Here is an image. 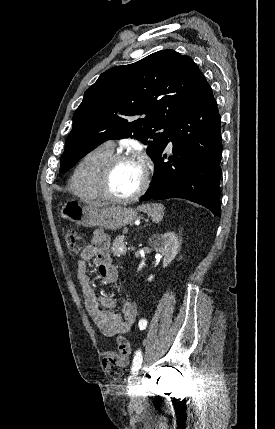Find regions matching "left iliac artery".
I'll list each match as a JSON object with an SVG mask.
<instances>
[{
    "instance_id": "obj_1",
    "label": "left iliac artery",
    "mask_w": 275,
    "mask_h": 429,
    "mask_svg": "<svg viewBox=\"0 0 275 429\" xmlns=\"http://www.w3.org/2000/svg\"><path fill=\"white\" fill-rule=\"evenodd\" d=\"M138 325H139L140 330H144L146 328V326H147V320L146 319H141L139 321ZM141 364H142V353L139 350V351H137V353H136V355H135V357L133 359V364H132V367H131V372H132L133 375H136L138 373V370L140 369Z\"/></svg>"
}]
</instances>
